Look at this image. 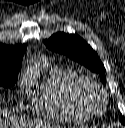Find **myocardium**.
I'll return each mask as SVG.
<instances>
[{"mask_svg": "<svg viewBox=\"0 0 125 128\" xmlns=\"http://www.w3.org/2000/svg\"><path fill=\"white\" fill-rule=\"evenodd\" d=\"M91 93H95L98 97V106L94 105ZM74 94L79 105L88 116H99L104 113L107 104V95L95 80L88 77H80L75 84Z\"/></svg>", "mask_w": 125, "mask_h": 128, "instance_id": "1", "label": "myocardium"}]
</instances>
